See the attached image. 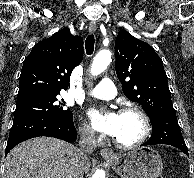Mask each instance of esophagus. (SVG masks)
<instances>
[{
  "instance_id": "esophagus-1",
  "label": "esophagus",
  "mask_w": 194,
  "mask_h": 178,
  "mask_svg": "<svg viewBox=\"0 0 194 178\" xmlns=\"http://www.w3.org/2000/svg\"><path fill=\"white\" fill-rule=\"evenodd\" d=\"M97 29V25L95 22H90L89 24V32L93 33L95 32ZM100 155L104 158V159H113L114 158V154L111 150L104 148L100 151Z\"/></svg>"
}]
</instances>
